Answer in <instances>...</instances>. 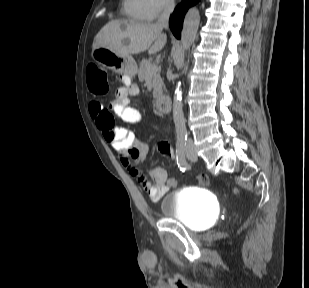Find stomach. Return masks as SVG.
Segmentation results:
<instances>
[{"label":"stomach","instance_id":"0dacf381","mask_svg":"<svg viewBox=\"0 0 309 288\" xmlns=\"http://www.w3.org/2000/svg\"><path fill=\"white\" fill-rule=\"evenodd\" d=\"M92 59L108 69L134 77L137 73V64L130 55H121L107 47H97L92 50Z\"/></svg>","mask_w":309,"mask_h":288}]
</instances>
